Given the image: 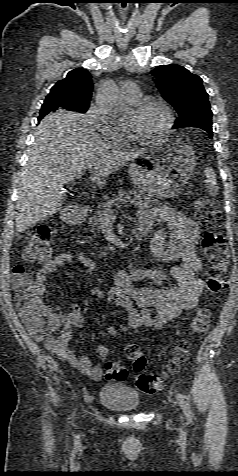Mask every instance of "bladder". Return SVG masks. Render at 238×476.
<instances>
[{
	"mask_svg": "<svg viewBox=\"0 0 238 476\" xmlns=\"http://www.w3.org/2000/svg\"><path fill=\"white\" fill-rule=\"evenodd\" d=\"M99 401L104 407L118 412L133 411L140 405L138 392L118 383L105 384L100 391Z\"/></svg>",
	"mask_w": 238,
	"mask_h": 476,
	"instance_id": "31cf9c89",
	"label": "bladder"
}]
</instances>
